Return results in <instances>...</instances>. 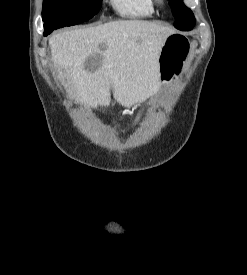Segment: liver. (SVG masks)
Wrapping results in <instances>:
<instances>
[{
    "instance_id": "obj_1",
    "label": "liver",
    "mask_w": 247,
    "mask_h": 275,
    "mask_svg": "<svg viewBox=\"0 0 247 275\" xmlns=\"http://www.w3.org/2000/svg\"><path fill=\"white\" fill-rule=\"evenodd\" d=\"M173 33L148 21L119 20L55 34L49 46L54 67L78 103L108 107L112 89L120 105L136 108L160 88L159 52Z\"/></svg>"
}]
</instances>
